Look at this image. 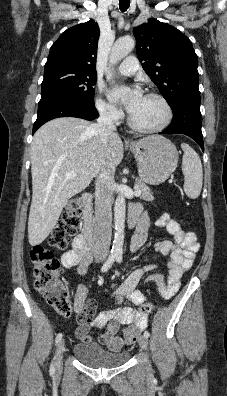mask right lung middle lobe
Masks as SVG:
<instances>
[{
  "instance_id": "1",
  "label": "right lung middle lobe",
  "mask_w": 227,
  "mask_h": 396,
  "mask_svg": "<svg viewBox=\"0 0 227 396\" xmlns=\"http://www.w3.org/2000/svg\"><path fill=\"white\" fill-rule=\"evenodd\" d=\"M96 74L73 70L55 69L44 71L41 99L51 96H67L88 105H94Z\"/></svg>"
}]
</instances>
